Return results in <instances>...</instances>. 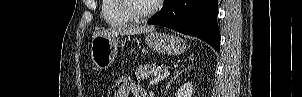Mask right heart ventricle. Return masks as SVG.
I'll return each mask as SVG.
<instances>
[{
	"instance_id": "e07e8e85",
	"label": "right heart ventricle",
	"mask_w": 302,
	"mask_h": 97,
	"mask_svg": "<svg viewBox=\"0 0 302 97\" xmlns=\"http://www.w3.org/2000/svg\"><path fill=\"white\" fill-rule=\"evenodd\" d=\"M101 15L106 24L110 26H124L132 22L119 9L117 0H103Z\"/></svg>"
}]
</instances>
